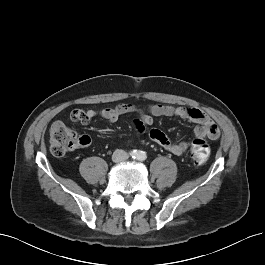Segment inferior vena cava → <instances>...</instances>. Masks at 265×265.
<instances>
[{
	"instance_id": "1",
	"label": "inferior vena cava",
	"mask_w": 265,
	"mask_h": 265,
	"mask_svg": "<svg viewBox=\"0 0 265 265\" xmlns=\"http://www.w3.org/2000/svg\"><path fill=\"white\" fill-rule=\"evenodd\" d=\"M127 158H128L127 152L121 149L115 150L112 155V159L114 162H121V161L126 160Z\"/></svg>"
}]
</instances>
